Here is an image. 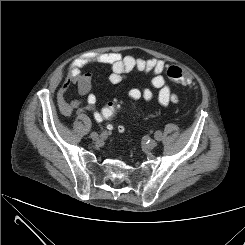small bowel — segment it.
I'll use <instances>...</instances> for the list:
<instances>
[{"label":"small bowel","instance_id":"small-bowel-1","mask_svg":"<svg viewBox=\"0 0 245 245\" xmlns=\"http://www.w3.org/2000/svg\"><path fill=\"white\" fill-rule=\"evenodd\" d=\"M92 64H107L111 68L109 81L112 84H119L131 71L151 73V86L158 90L157 101L161 106H167L170 103L178 101L177 95L172 92L167 84L163 72L166 68V62L157 58H135L133 56H123L117 52L110 53H87L76 59L70 65L64 82L62 83L57 97L60 111L68 116L73 110L93 111L96 121L101 122L104 118L102 112L96 110L97 98L91 92L93 77L91 73H84L82 69ZM71 85H75L81 96L86 97L84 102L81 99H75L70 103L66 101V93ZM128 96L132 101L144 100L151 102L154 99V93L150 88H131Z\"/></svg>","mask_w":245,"mask_h":245}]
</instances>
